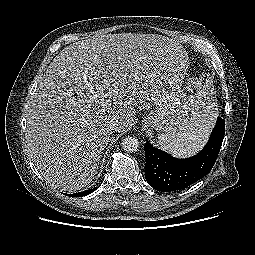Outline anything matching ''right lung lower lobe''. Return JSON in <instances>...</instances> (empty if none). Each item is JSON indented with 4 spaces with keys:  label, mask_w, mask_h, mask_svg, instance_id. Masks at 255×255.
<instances>
[{
    "label": "right lung lower lobe",
    "mask_w": 255,
    "mask_h": 255,
    "mask_svg": "<svg viewBox=\"0 0 255 255\" xmlns=\"http://www.w3.org/2000/svg\"><path fill=\"white\" fill-rule=\"evenodd\" d=\"M93 191H95V189L86 190V191L76 193V194H70V196H72V197L84 196V195H88V194L92 193Z\"/></svg>",
    "instance_id": "obj_1"
}]
</instances>
